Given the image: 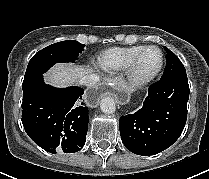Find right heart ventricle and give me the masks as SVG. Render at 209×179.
<instances>
[{
  "mask_svg": "<svg viewBox=\"0 0 209 179\" xmlns=\"http://www.w3.org/2000/svg\"><path fill=\"white\" fill-rule=\"evenodd\" d=\"M143 47L144 45H131L108 48L99 54L96 65L105 73H120L127 68L134 55Z\"/></svg>",
  "mask_w": 209,
  "mask_h": 179,
  "instance_id": "e07e8e85",
  "label": "right heart ventricle"
}]
</instances>
